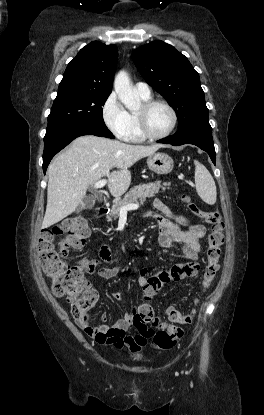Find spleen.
<instances>
[{"instance_id": "obj_1", "label": "spleen", "mask_w": 264, "mask_h": 415, "mask_svg": "<svg viewBox=\"0 0 264 415\" xmlns=\"http://www.w3.org/2000/svg\"><path fill=\"white\" fill-rule=\"evenodd\" d=\"M194 164L197 193L204 202L213 205L216 202L217 196L215 181L203 164L197 160H194Z\"/></svg>"}]
</instances>
